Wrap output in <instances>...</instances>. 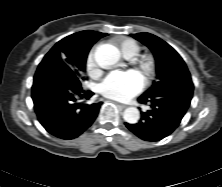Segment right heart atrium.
Returning <instances> with one entry per match:
<instances>
[{
    "label": "right heart atrium",
    "instance_id": "1",
    "mask_svg": "<svg viewBox=\"0 0 222 187\" xmlns=\"http://www.w3.org/2000/svg\"><path fill=\"white\" fill-rule=\"evenodd\" d=\"M86 69L92 75H95L98 71V65L95 60V50L94 49H92L88 53V56L86 58Z\"/></svg>",
    "mask_w": 222,
    "mask_h": 187
}]
</instances>
